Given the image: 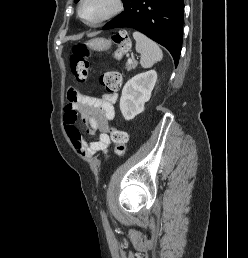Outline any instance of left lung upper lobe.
Here are the masks:
<instances>
[{
    "label": "left lung upper lobe",
    "instance_id": "1",
    "mask_svg": "<svg viewBox=\"0 0 248 258\" xmlns=\"http://www.w3.org/2000/svg\"><path fill=\"white\" fill-rule=\"evenodd\" d=\"M79 0H75V3L78 2ZM123 4H124V8L126 7V5L129 3L130 0H122Z\"/></svg>",
    "mask_w": 248,
    "mask_h": 258
}]
</instances>
